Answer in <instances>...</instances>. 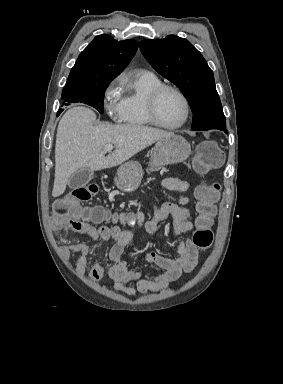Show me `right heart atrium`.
Instances as JSON below:
<instances>
[{"mask_svg": "<svg viewBox=\"0 0 283 384\" xmlns=\"http://www.w3.org/2000/svg\"><path fill=\"white\" fill-rule=\"evenodd\" d=\"M122 89L123 79L121 75H118L111 79L102 91L103 108L114 122L122 120Z\"/></svg>", "mask_w": 283, "mask_h": 384, "instance_id": "d8ad5b80", "label": "right heart atrium"}]
</instances>
